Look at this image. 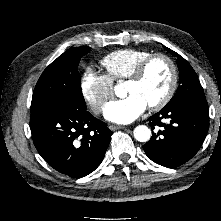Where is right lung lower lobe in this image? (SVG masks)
I'll list each match as a JSON object with an SVG mask.
<instances>
[{
    "label": "right lung lower lobe",
    "instance_id": "98d812e1",
    "mask_svg": "<svg viewBox=\"0 0 221 221\" xmlns=\"http://www.w3.org/2000/svg\"><path fill=\"white\" fill-rule=\"evenodd\" d=\"M30 128L39 154L55 170L73 178L99 166L112 134L86 108L70 103L31 112Z\"/></svg>",
    "mask_w": 221,
    "mask_h": 221
}]
</instances>
